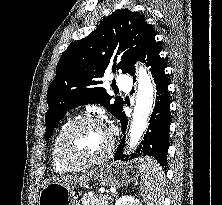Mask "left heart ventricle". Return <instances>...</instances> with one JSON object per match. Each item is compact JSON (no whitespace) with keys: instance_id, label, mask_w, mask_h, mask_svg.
I'll use <instances>...</instances> for the list:
<instances>
[{"instance_id":"obj_1","label":"left heart ventricle","mask_w":222,"mask_h":205,"mask_svg":"<svg viewBox=\"0 0 222 205\" xmlns=\"http://www.w3.org/2000/svg\"><path fill=\"white\" fill-rule=\"evenodd\" d=\"M108 144V134L98 124H85L75 129L66 141V148L72 157L91 159L100 155Z\"/></svg>"}]
</instances>
